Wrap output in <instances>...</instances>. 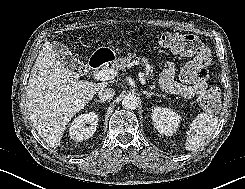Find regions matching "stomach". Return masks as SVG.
<instances>
[{
	"label": "stomach",
	"instance_id": "0dacf381",
	"mask_svg": "<svg viewBox=\"0 0 245 189\" xmlns=\"http://www.w3.org/2000/svg\"><path fill=\"white\" fill-rule=\"evenodd\" d=\"M112 53L114 54V55H116V53H120V50L117 48L116 50H112Z\"/></svg>",
	"mask_w": 245,
	"mask_h": 189
}]
</instances>
